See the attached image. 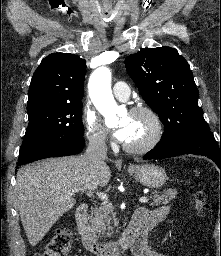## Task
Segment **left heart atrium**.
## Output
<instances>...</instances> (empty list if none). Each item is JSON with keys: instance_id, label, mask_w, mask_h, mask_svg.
I'll use <instances>...</instances> for the list:
<instances>
[{"instance_id": "1", "label": "left heart atrium", "mask_w": 221, "mask_h": 256, "mask_svg": "<svg viewBox=\"0 0 221 256\" xmlns=\"http://www.w3.org/2000/svg\"><path fill=\"white\" fill-rule=\"evenodd\" d=\"M131 127L129 124H123L114 132V137L122 142H126L130 135Z\"/></svg>"}]
</instances>
